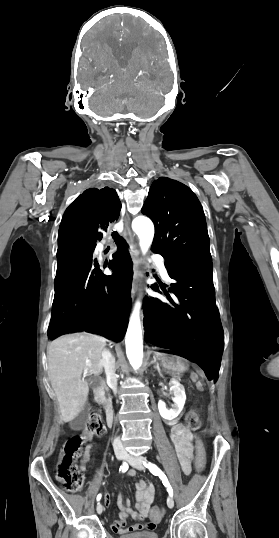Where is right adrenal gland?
I'll use <instances>...</instances> for the list:
<instances>
[{"instance_id": "1", "label": "right adrenal gland", "mask_w": 279, "mask_h": 538, "mask_svg": "<svg viewBox=\"0 0 279 538\" xmlns=\"http://www.w3.org/2000/svg\"><path fill=\"white\" fill-rule=\"evenodd\" d=\"M113 362H115V358H112Z\"/></svg>"}]
</instances>
